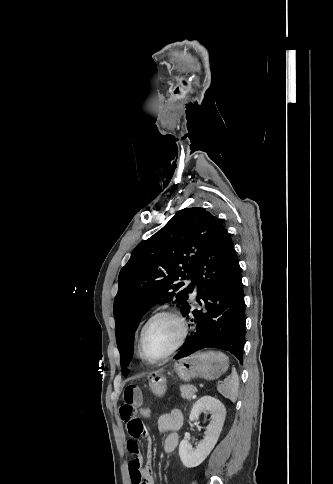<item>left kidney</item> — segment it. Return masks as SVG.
<instances>
[{
    "label": "left kidney",
    "mask_w": 333,
    "mask_h": 484,
    "mask_svg": "<svg viewBox=\"0 0 333 484\" xmlns=\"http://www.w3.org/2000/svg\"><path fill=\"white\" fill-rule=\"evenodd\" d=\"M211 415V421L206 427L205 436L195 448L187 439L179 445V456L184 466L193 468L200 465L216 445L224 425L226 409L221 401L211 396L201 397L193 405L190 420L193 421L203 412Z\"/></svg>",
    "instance_id": "5707ae66"
}]
</instances>
